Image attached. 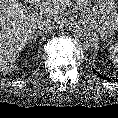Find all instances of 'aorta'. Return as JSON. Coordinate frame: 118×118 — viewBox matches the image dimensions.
<instances>
[{
    "label": "aorta",
    "mask_w": 118,
    "mask_h": 118,
    "mask_svg": "<svg viewBox=\"0 0 118 118\" xmlns=\"http://www.w3.org/2000/svg\"><path fill=\"white\" fill-rule=\"evenodd\" d=\"M75 39L86 51H95L99 49V40L91 31L83 26L76 24L73 27Z\"/></svg>",
    "instance_id": "762f6f07"
}]
</instances>
